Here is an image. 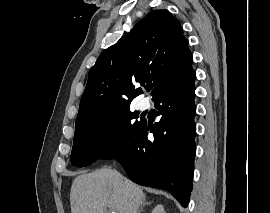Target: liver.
I'll return each mask as SVG.
<instances>
[{"mask_svg": "<svg viewBox=\"0 0 270 213\" xmlns=\"http://www.w3.org/2000/svg\"><path fill=\"white\" fill-rule=\"evenodd\" d=\"M143 190L110 168L77 176L70 192L71 213H137Z\"/></svg>", "mask_w": 270, "mask_h": 213, "instance_id": "obj_1", "label": "liver"}]
</instances>
